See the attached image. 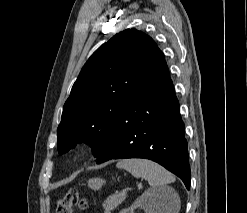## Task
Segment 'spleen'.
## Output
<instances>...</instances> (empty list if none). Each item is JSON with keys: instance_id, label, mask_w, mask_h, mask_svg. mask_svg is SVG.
Returning <instances> with one entry per match:
<instances>
[{"instance_id": "spleen-1", "label": "spleen", "mask_w": 247, "mask_h": 213, "mask_svg": "<svg viewBox=\"0 0 247 213\" xmlns=\"http://www.w3.org/2000/svg\"><path fill=\"white\" fill-rule=\"evenodd\" d=\"M117 168L130 172L136 178H144L148 181L153 190L159 187H165L167 184L175 181V177L170 172L150 160L137 158L124 159L117 163ZM168 204L175 207L173 213H178L180 206L176 195L173 196L172 200L169 201ZM161 206L162 204L160 203V208Z\"/></svg>"}]
</instances>
